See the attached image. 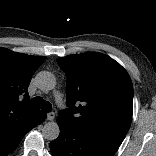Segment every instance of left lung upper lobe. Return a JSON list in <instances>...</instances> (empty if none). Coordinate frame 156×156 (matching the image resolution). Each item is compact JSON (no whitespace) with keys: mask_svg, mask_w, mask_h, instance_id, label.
I'll return each mask as SVG.
<instances>
[{"mask_svg":"<svg viewBox=\"0 0 156 156\" xmlns=\"http://www.w3.org/2000/svg\"><path fill=\"white\" fill-rule=\"evenodd\" d=\"M67 75L66 103L61 111L75 129L105 137L118 145L132 119L133 85L127 71L101 53L58 58Z\"/></svg>","mask_w":156,"mask_h":156,"instance_id":"obj_1","label":"left lung upper lobe"}]
</instances>
